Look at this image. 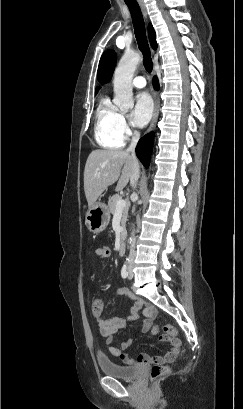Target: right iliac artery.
I'll list each match as a JSON object with an SVG mask.
<instances>
[{
    "instance_id": "82829eb1",
    "label": "right iliac artery",
    "mask_w": 243,
    "mask_h": 409,
    "mask_svg": "<svg viewBox=\"0 0 243 409\" xmlns=\"http://www.w3.org/2000/svg\"><path fill=\"white\" fill-rule=\"evenodd\" d=\"M127 266H128V262H126V263L123 265V267H122L121 276H122L123 278H127V277H128Z\"/></svg>"
}]
</instances>
